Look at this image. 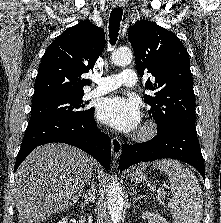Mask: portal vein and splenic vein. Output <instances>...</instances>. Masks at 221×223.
<instances>
[{"instance_id":"18ae733b","label":"portal vein and splenic vein","mask_w":221,"mask_h":223,"mask_svg":"<svg viewBox=\"0 0 221 223\" xmlns=\"http://www.w3.org/2000/svg\"><path fill=\"white\" fill-rule=\"evenodd\" d=\"M161 190H162V189H158L157 192H158V193H161Z\"/></svg>"}]
</instances>
